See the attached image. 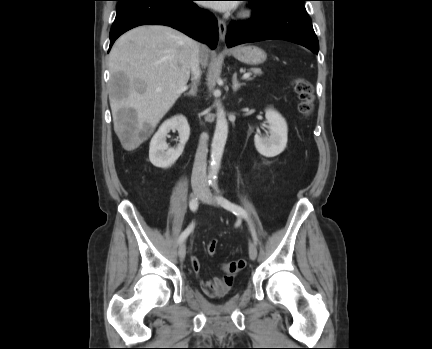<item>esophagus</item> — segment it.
Listing matches in <instances>:
<instances>
[{
	"label": "esophagus",
	"mask_w": 432,
	"mask_h": 349,
	"mask_svg": "<svg viewBox=\"0 0 432 349\" xmlns=\"http://www.w3.org/2000/svg\"><path fill=\"white\" fill-rule=\"evenodd\" d=\"M218 32L220 40L224 41L227 33V26L225 21L220 18L218 19Z\"/></svg>",
	"instance_id": "1"
}]
</instances>
